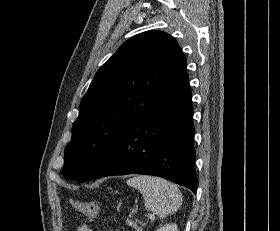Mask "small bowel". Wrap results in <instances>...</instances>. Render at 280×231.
<instances>
[{
  "label": "small bowel",
  "instance_id": "small-bowel-1",
  "mask_svg": "<svg viewBox=\"0 0 280 231\" xmlns=\"http://www.w3.org/2000/svg\"><path fill=\"white\" fill-rule=\"evenodd\" d=\"M77 231H92L87 224H80L77 228Z\"/></svg>",
  "mask_w": 280,
  "mask_h": 231
}]
</instances>
